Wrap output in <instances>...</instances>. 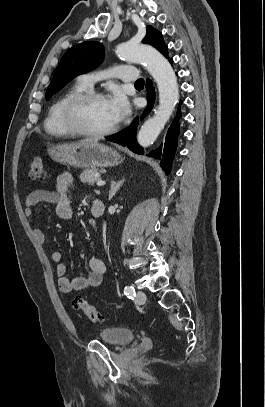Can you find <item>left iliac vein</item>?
<instances>
[{"mask_svg": "<svg viewBox=\"0 0 265 407\" xmlns=\"http://www.w3.org/2000/svg\"><path fill=\"white\" fill-rule=\"evenodd\" d=\"M136 301L138 302V303H144L145 301H146V295H145V293L143 292V291H141V290H138L137 292H136Z\"/></svg>", "mask_w": 265, "mask_h": 407, "instance_id": "1", "label": "left iliac vein"}]
</instances>
